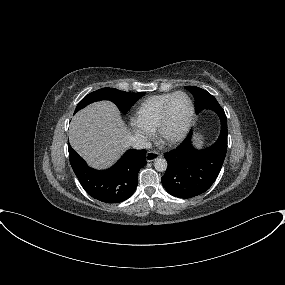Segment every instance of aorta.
<instances>
[{"instance_id":"1","label":"aorta","mask_w":285,"mask_h":285,"mask_svg":"<svg viewBox=\"0 0 285 285\" xmlns=\"http://www.w3.org/2000/svg\"><path fill=\"white\" fill-rule=\"evenodd\" d=\"M167 161L164 158H156L154 161V167L157 171L163 172L167 169Z\"/></svg>"}]
</instances>
